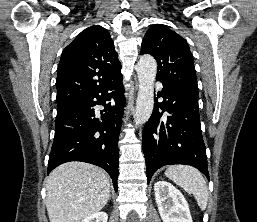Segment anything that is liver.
Wrapping results in <instances>:
<instances>
[{"mask_svg": "<svg viewBox=\"0 0 257 222\" xmlns=\"http://www.w3.org/2000/svg\"><path fill=\"white\" fill-rule=\"evenodd\" d=\"M110 178L94 165L67 162L47 179L46 208L50 222H81L99 212L110 197Z\"/></svg>", "mask_w": 257, "mask_h": 222, "instance_id": "6515ba94", "label": "liver"}]
</instances>
